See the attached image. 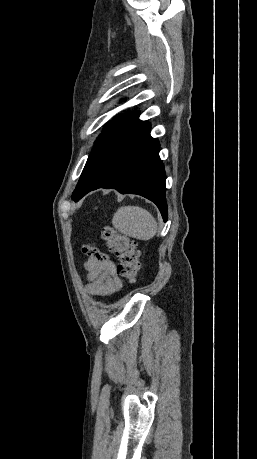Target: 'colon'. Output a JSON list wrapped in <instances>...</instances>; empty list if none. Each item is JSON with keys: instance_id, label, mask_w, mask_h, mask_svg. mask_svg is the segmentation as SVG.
<instances>
[{"instance_id": "obj_1", "label": "colon", "mask_w": 257, "mask_h": 459, "mask_svg": "<svg viewBox=\"0 0 257 459\" xmlns=\"http://www.w3.org/2000/svg\"><path fill=\"white\" fill-rule=\"evenodd\" d=\"M102 238L108 244L109 249L119 258L117 273L121 280L129 283L135 282L141 268L137 242L118 233L111 226L103 227Z\"/></svg>"}]
</instances>
